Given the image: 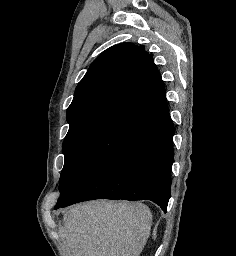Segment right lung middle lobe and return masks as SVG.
Instances as JSON below:
<instances>
[{
	"mask_svg": "<svg viewBox=\"0 0 236 256\" xmlns=\"http://www.w3.org/2000/svg\"><path fill=\"white\" fill-rule=\"evenodd\" d=\"M148 125L126 113H110L70 126L58 202L66 201L106 158Z\"/></svg>",
	"mask_w": 236,
	"mask_h": 256,
	"instance_id": "right-lung-middle-lobe-1",
	"label": "right lung middle lobe"
}]
</instances>
